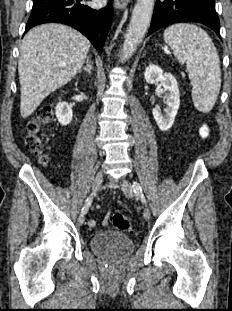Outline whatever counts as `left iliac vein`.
<instances>
[{"instance_id":"4c4485c4","label":"left iliac vein","mask_w":232,"mask_h":311,"mask_svg":"<svg viewBox=\"0 0 232 311\" xmlns=\"http://www.w3.org/2000/svg\"><path fill=\"white\" fill-rule=\"evenodd\" d=\"M122 191L126 197L132 198L134 196L133 186L128 181L122 182ZM143 216L146 220H149L151 217V213L148 207H144Z\"/></svg>"}]
</instances>
